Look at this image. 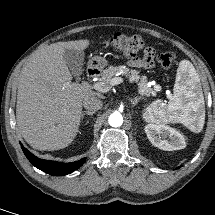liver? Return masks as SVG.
<instances>
[{
  "instance_id": "obj_1",
  "label": "liver",
  "mask_w": 215,
  "mask_h": 215,
  "mask_svg": "<svg viewBox=\"0 0 215 215\" xmlns=\"http://www.w3.org/2000/svg\"><path fill=\"white\" fill-rule=\"evenodd\" d=\"M89 40L57 42L34 52L17 77L16 119L21 136L34 149L59 150L72 143L82 103L95 93L79 83L64 60V51H83Z\"/></svg>"
}]
</instances>
